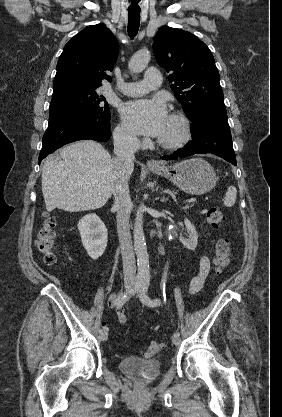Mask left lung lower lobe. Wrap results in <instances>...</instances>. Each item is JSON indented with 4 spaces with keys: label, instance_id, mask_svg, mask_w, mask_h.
Returning <instances> with one entry per match:
<instances>
[{
    "label": "left lung lower lobe",
    "instance_id": "0a47b994",
    "mask_svg": "<svg viewBox=\"0 0 282 417\" xmlns=\"http://www.w3.org/2000/svg\"><path fill=\"white\" fill-rule=\"evenodd\" d=\"M192 123L193 141L178 152L162 156L161 159L170 160L194 154L212 153L233 165L237 164L225 106L198 111L197 118Z\"/></svg>",
    "mask_w": 282,
    "mask_h": 417
}]
</instances>
